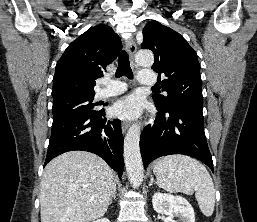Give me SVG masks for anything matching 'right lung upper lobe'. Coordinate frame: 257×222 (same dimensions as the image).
<instances>
[{"mask_svg": "<svg viewBox=\"0 0 257 222\" xmlns=\"http://www.w3.org/2000/svg\"><path fill=\"white\" fill-rule=\"evenodd\" d=\"M121 40L109 26L96 25L74 40L56 64L53 101L95 95V80L102 68L118 56Z\"/></svg>", "mask_w": 257, "mask_h": 222, "instance_id": "obj_1", "label": "right lung upper lobe"}]
</instances>
